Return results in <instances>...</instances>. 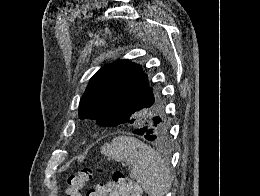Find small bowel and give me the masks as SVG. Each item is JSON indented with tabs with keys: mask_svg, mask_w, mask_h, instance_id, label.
Here are the masks:
<instances>
[{
	"mask_svg": "<svg viewBox=\"0 0 260 196\" xmlns=\"http://www.w3.org/2000/svg\"><path fill=\"white\" fill-rule=\"evenodd\" d=\"M111 185H107L102 181L96 182L93 187L87 192L86 196H109L108 190Z\"/></svg>",
	"mask_w": 260,
	"mask_h": 196,
	"instance_id": "c3829d8e",
	"label": "small bowel"
}]
</instances>
